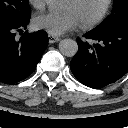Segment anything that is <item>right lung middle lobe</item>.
I'll list each match as a JSON object with an SVG mask.
<instances>
[{
    "label": "right lung middle lobe",
    "mask_w": 128,
    "mask_h": 128,
    "mask_svg": "<svg viewBox=\"0 0 128 128\" xmlns=\"http://www.w3.org/2000/svg\"><path fill=\"white\" fill-rule=\"evenodd\" d=\"M30 15L28 0H0V23L21 24Z\"/></svg>",
    "instance_id": "dd1d6c3e"
}]
</instances>
